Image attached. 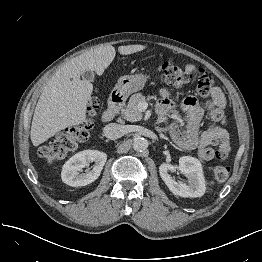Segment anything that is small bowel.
<instances>
[{
	"label": "small bowel",
	"instance_id": "obj_1",
	"mask_svg": "<svg viewBox=\"0 0 262 262\" xmlns=\"http://www.w3.org/2000/svg\"><path fill=\"white\" fill-rule=\"evenodd\" d=\"M185 69L188 74H198V91L204 99V107L198 103L195 97H187L183 101L181 109L186 113V131L183 132L179 123H167L169 116L175 115V113H170L174 108V101L171 98V91L168 88H162L160 90L161 99L158 103L160 113L158 124L161 128H166L170 132L172 139L179 146L184 149L197 148L202 160H211L215 155L211 145L217 135L222 137V147H228L227 121L224 113L227 105L226 98L221 89L212 82L211 76L203 69L194 64H187ZM204 110L209 113L212 121L220 122L222 126H212L201 131L200 122Z\"/></svg>",
	"mask_w": 262,
	"mask_h": 262
}]
</instances>
